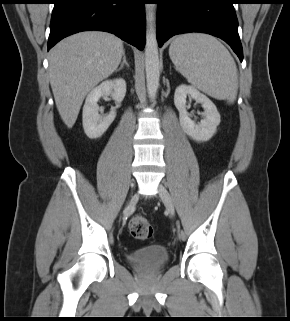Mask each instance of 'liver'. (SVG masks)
I'll return each mask as SVG.
<instances>
[{
	"label": "liver",
	"instance_id": "liver-1",
	"mask_svg": "<svg viewBox=\"0 0 290 321\" xmlns=\"http://www.w3.org/2000/svg\"><path fill=\"white\" fill-rule=\"evenodd\" d=\"M123 53L122 40L102 31L71 35L50 50V84L68 128L75 124L86 95L117 69Z\"/></svg>",
	"mask_w": 290,
	"mask_h": 321
}]
</instances>
